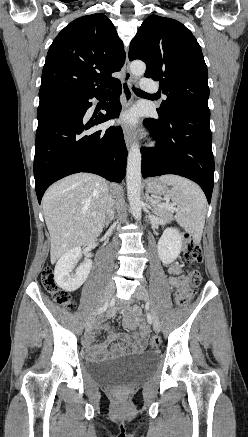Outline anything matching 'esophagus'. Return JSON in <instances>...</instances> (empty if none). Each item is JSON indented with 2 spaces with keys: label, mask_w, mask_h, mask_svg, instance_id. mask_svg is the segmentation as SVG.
<instances>
[{
  "label": "esophagus",
  "mask_w": 248,
  "mask_h": 437,
  "mask_svg": "<svg viewBox=\"0 0 248 437\" xmlns=\"http://www.w3.org/2000/svg\"><path fill=\"white\" fill-rule=\"evenodd\" d=\"M122 73L123 75H122L121 83H122L123 109L127 110L130 104L132 103V99H133V92L131 88L132 74L130 71V62L128 59V55H126ZM123 133H124L126 146L129 148L132 142V136L129 127L125 126L123 129Z\"/></svg>",
  "instance_id": "esophagus-1"
}]
</instances>
